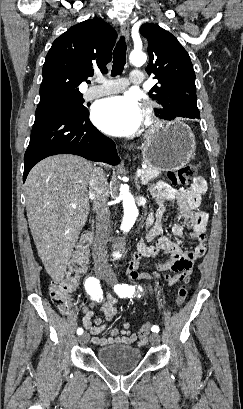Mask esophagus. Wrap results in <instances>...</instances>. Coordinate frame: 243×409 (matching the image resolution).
I'll return each mask as SVG.
<instances>
[{
    "label": "esophagus",
    "instance_id": "1",
    "mask_svg": "<svg viewBox=\"0 0 243 409\" xmlns=\"http://www.w3.org/2000/svg\"><path fill=\"white\" fill-rule=\"evenodd\" d=\"M129 29H130L129 23L125 22L121 25V33L126 39H128L129 37ZM124 146L130 148L129 145H124Z\"/></svg>",
    "mask_w": 243,
    "mask_h": 409
}]
</instances>
